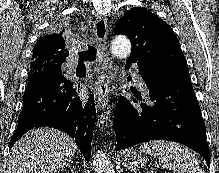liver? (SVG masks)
Wrapping results in <instances>:
<instances>
[{"mask_svg":"<svg viewBox=\"0 0 219 173\" xmlns=\"http://www.w3.org/2000/svg\"><path fill=\"white\" fill-rule=\"evenodd\" d=\"M76 150L75 140L60 130L33 129L14 144L5 173H53L67 165Z\"/></svg>","mask_w":219,"mask_h":173,"instance_id":"1","label":"liver"}]
</instances>
